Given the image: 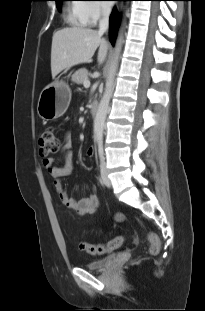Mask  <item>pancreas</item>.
Segmentation results:
<instances>
[{"label":"pancreas","mask_w":205,"mask_h":311,"mask_svg":"<svg viewBox=\"0 0 205 311\" xmlns=\"http://www.w3.org/2000/svg\"><path fill=\"white\" fill-rule=\"evenodd\" d=\"M88 70L81 68L72 75V81L77 84H83L85 80H88Z\"/></svg>","instance_id":"pancreas-1"}]
</instances>
